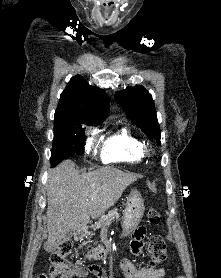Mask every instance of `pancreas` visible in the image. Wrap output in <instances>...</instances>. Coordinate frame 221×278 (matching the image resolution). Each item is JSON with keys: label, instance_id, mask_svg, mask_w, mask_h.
Wrapping results in <instances>:
<instances>
[{"label": "pancreas", "instance_id": "1", "mask_svg": "<svg viewBox=\"0 0 221 278\" xmlns=\"http://www.w3.org/2000/svg\"><path fill=\"white\" fill-rule=\"evenodd\" d=\"M120 215L118 213V210L112 209L107 215H103L99 222H93V227H109V224L114 219H119Z\"/></svg>", "mask_w": 221, "mask_h": 278}]
</instances>
